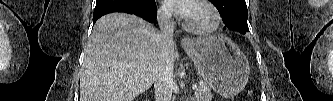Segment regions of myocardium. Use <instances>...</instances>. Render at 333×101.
I'll use <instances>...</instances> for the list:
<instances>
[{
    "label": "myocardium",
    "mask_w": 333,
    "mask_h": 101,
    "mask_svg": "<svg viewBox=\"0 0 333 101\" xmlns=\"http://www.w3.org/2000/svg\"><path fill=\"white\" fill-rule=\"evenodd\" d=\"M194 3L203 5L209 9V11L211 12V14L213 16V23L211 26H209L207 28H196V27L192 26L191 24H189L188 21L186 20V18H184L183 19L184 29H186L187 31H189L193 34H197V35H208V34H211V33H214L215 31H217L221 24V15H220V12L218 11V9L210 1H207V0H197Z\"/></svg>",
    "instance_id": "1"
}]
</instances>
